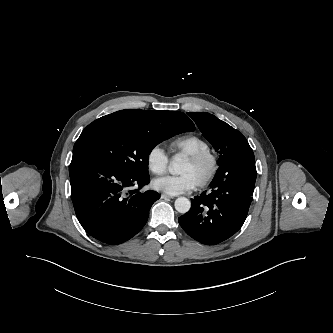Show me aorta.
Here are the masks:
<instances>
[{"mask_svg":"<svg viewBox=\"0 0 333 333\" xmlns=\"http://www.w3.org/2000/svg\"><path fill=\"white\" fill-rule=\"evenodd\" d=\"M179 163L177 161H173L169 164L168 170L171 174H179ZM191 203L190 201L185 197H179L175 200V209L179 213H186L190 210Z\"/></svg>","mask_w":333,"mask_h":333,"instance_id":"1","label":"aorta"}]
</instances>
